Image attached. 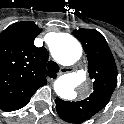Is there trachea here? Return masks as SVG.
Returning a JSON list of instances; mask_svg holds the SVG:
<instances>
[{
  "mask_svg": "<svg viewBox=\"0 0 124 124\" xmlns=\"http://www.w3.org/2000/svg\"><path fill=\"white\" fill-rule=\"evenodd\" d=\"M47 69L51 72H58L59 71V66L56 62L54 61H49L47 64Z\"/></svg>",
  "mask_w": 124,
  "mask_h": 124,
  "instance_id": "trachea-1",
  "label": "trachea"
}]
</instances>
